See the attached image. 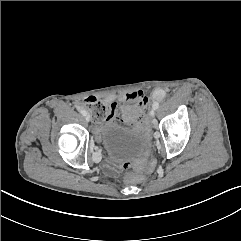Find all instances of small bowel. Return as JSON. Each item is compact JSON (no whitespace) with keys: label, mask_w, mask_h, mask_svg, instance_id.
<instances>
[{"label":"small bowel","mask_w":241,"mask_h":241,"mask_svg":"<svg viewBox=\"0 0 241 241\" xmlns=\"http://www.w3.org/2000/svg\"><path fill=\"white\" fill-rule=\"evenodd\" d=\"M149 95L150 90L147 87H142L134 92L115 95L109 98V101L113 109H120L122 122L137 129H145L140 120L144 107L150 101ZM154 96L157 97V94ZM95 133L99 138L101 134L100 125L95 127Z\"/></svg>","instance_id":"c3829d8e"}]
</instances>
